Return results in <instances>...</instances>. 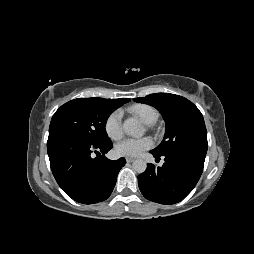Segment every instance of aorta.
Wrapping results in <instances>:
<instances>
[{
  "mask_svg": "<svg viewBox=\"0 0 254 254\" xmlns=\"http://www.w3.org/2000/svg\"><path fill=\"white\" fill-rule=\"evenodd\" d=\"M123 130L127 135L135 137L142 136L144 133V129L141 124L133 118L124 121ZM132 168L137 173H143L147 168V164L142 159H136L132 163Z\"/></svg>",
  "mask_w": 254,
  "mask_h": 254,
  "instance_id": "obj_1",
  "label": "aorta"
}]
</instances>
